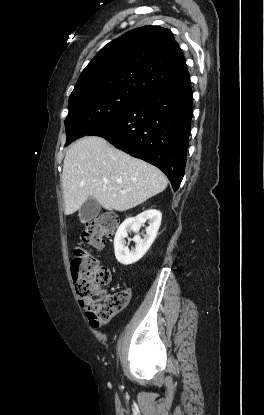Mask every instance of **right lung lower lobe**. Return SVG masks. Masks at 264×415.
<instances>
[{"label": "right lung lower lobe", "mask_w": 264, "mask_h": 415, "mask_svg": "<svg viewBox=\"0 0 264 415\" xmlns=\"http://www.w3.org/2000/svg\"><path fill=\"white\" fill-rule=\"evenodd\" d=\"M193 98L190 78L142 97L116 119L88 135L161 169L177 190L184 176Z\"/></svg>", "instance_id": "obj_1"}]
</instances>
